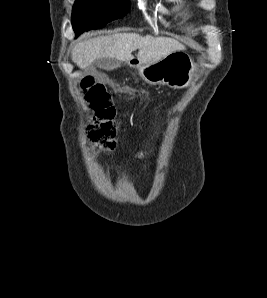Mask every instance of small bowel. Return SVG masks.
I'll return each mask as SVG.
<instances>
[{"label": "small bowel", "mask_w": 267, "mask_h": 298, "mask_svg": "<svg viewBox=\"0 0 267 298\" xmlns=\"http://www.w3.org/2000/svg\"><path fill=\"white\" fill-rule=\"evenodd\" d=\"M90 135H91V133H90ZM91 137L94 139V137L91 135Z\"/></svg>", "instance_id": "c3829d8e"}]
</instances>
